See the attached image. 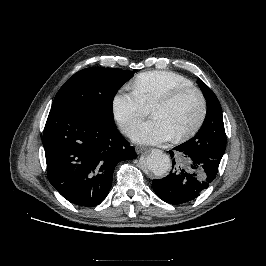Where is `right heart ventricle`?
Instances as JSON below:
<instances>
[{
	"label": "right heart ventricle",
	"mask_w": 266,
	"mask_h": 266,
	"mask_svg": "<svg viewBox=\"0 0 266 266\" xmlns=\"http://www.w3.org/2000/svg\"><path fill=\"white\" fill-rule=\"evenodd\" d=\"M192 83L182 75L165 70H153L138 74L131 87L146 106L152 104L168 92Z\"/></svg>",
	"instance_id": "right-heart-ventricle-1"
}]
</instances>
